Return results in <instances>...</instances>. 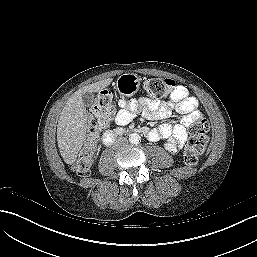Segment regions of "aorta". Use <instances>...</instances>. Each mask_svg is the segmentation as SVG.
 <instances>
[{"instance_id": "aorta-1", "label": "aorta", "mask_w": 257, "mask_h": 257, "mask_svg": "<svg viewBox=\"0 0 257 257\" xmlns=\"http://www.w3.org/2000/svg\"><path fill=\"white\" fill-rule=\"evenodd\" d=\"M129 141L130 143L137 145L141 141V137L138 133H132L129 135Z\"/></svg>"}]
</instances>
